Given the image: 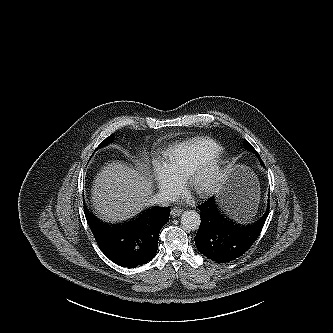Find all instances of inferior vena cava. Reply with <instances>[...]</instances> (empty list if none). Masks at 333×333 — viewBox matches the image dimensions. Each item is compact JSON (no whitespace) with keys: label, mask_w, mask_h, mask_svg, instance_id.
I'll return each instance as SVG.
<instances>
[{"label":"inferior vena cava","mask_w":333,"mask_h":333,"mask_svg":"<svg viewBox=\"0 0 333 333\" xmlns=\"http://www.w3.org/2000/svg\"><path fill=\"white\" fill-rule=\"evenodd\" d=\"M175 199L176 196L172 192L162 190L152 198V203L160 206H168L171 202H174Z\"/></svg>","instance_id":"inferior-vena-cava-1"}]
</instances>
